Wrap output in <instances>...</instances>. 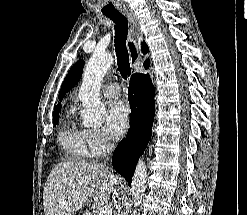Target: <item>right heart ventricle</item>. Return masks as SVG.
<instances>
[{
	"mask_svg": "<svg viewBox=\"0 0 247 215\" xmlns=\"http://www.w3.org/2000/svg\"><path fill=\"white\" fill-rule=\"evenodd\" d=\"M70 118L71 112L59 131L60 145L72 160H86L91 157V152L85 129L77 127Z\"/></svg>",
	"mask_w": 247,
	"mask_h": 215,
	"instance_id": "obj_1",
	"label": "right heart ventricle"
}]
</instances>
